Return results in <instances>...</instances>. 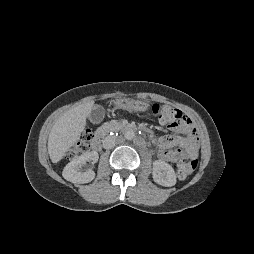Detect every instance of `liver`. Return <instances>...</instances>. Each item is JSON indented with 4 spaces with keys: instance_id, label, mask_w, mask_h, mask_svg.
I'll return each instance as SVG.
<instances>
[{
    "instance_id": "obj_1",
    "label": "liver",
    "mask_w": 254,
    "mask_h": 254,
    "mask_svg": "<svg viewBox=\"0 0 254 254\" xmlns=\"http://www.w3.org/2000/svg\"><path fill=\"white\" fill-rule=\"evenodd\" d=\"M94 106V101L78 105L55 122L48 137V153L53 163L59 162L66 151L79 140L86 118Z\"/></svg>"
}]
</instances>
